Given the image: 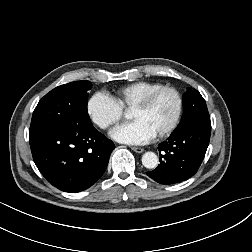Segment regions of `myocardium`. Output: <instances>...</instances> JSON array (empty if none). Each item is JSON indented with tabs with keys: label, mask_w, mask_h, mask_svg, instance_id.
Masks as SVG:
<instances>
[{
	"label": "myocardium",
	"mask_w": 252,
	"mask_h": 252,
	"mask_svg": "<svg viewBox=\"0 0 252 252\" xmlns=\"http://www.w3.org/2000/svg\"><path fill=\"white\" fill-rule=\"evenodd\" d=\"M163 92H171L174 94V96L176 97L177 100V108H176V112L174 115L173 120L171 121V123L161 132L157 133L155 136L158 138H164L169 136L177 127L182 112H183V106H184V100H183V96L181 94V92L172 86H162L152 92H150L149 94H147L141 101H139L137 104H135L132 107V110L134 109H140V110H144L147 109L148 107L151 106V104L154 102V100Z\"/></svg>",
	"instance_id": "1"
}]
</instances>
